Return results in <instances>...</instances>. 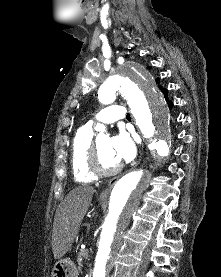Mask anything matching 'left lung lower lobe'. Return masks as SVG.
Returning <instances> with one entry per match:
<instances>
[{
	"instance_id": "1",
	"label": "left lung lower lobe",
	"mask_w": 221,
	"mask_h": 277,
	"mask_svg": "<svg viewBox=\"0 0 221 277\" xmlns=\"http://www.w3.org/2000/svg\"><path fill=\"white\" fill-rule=\"evenodd\" d=\"M162 92H163V94L165 95V97H166V99H167L168 90H167V89H162ZM167 102H168V104H169V107L172 108V106H173L172 102L169 101L168 99H167Z\"/></svg>"
}]
</instances>
